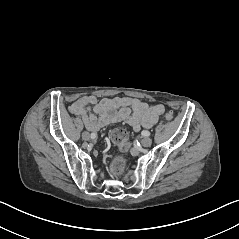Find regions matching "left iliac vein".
Here are the masks:
<instances>
[{"instance_id": "left-iliac-vein-1", "label": "left iliac vein", "mask_w": 239, "mask_h": 239, "mask_svg": "<svg viewBox=\"0 0 239 239\" xmlns=\"http://www.w3.org/2000/svg\"><path fill=\"white\" fill-rule=\"evenodd\" d=\"M142 146L149 147L152 144V139L149 137H145L141 141Z\"/></svg>"}]
</instances>
